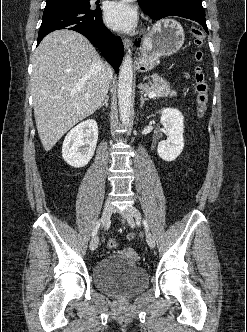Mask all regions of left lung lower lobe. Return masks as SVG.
Masks as SVG:
<instances>
[{
	"label": "left lung lower lobe",
	"instance_id": "0a47b994",
	"mask_svg": "<svg viewBox=\"0 0 247 332\" xmlns=\"http://www.w3.org/2000/svg\"><path fill=\"white\" fill-rule=\"evenodd\" d=\"M151 19L158 20L168 16H179L185 19H189L199 23L203 29L208 33V28L206 25L205 11L202 8H193V7H173L165 10L160 14H149Z\"/></svg>",
	"mask_w": 247,
	"mask_h": 332
}]
</instances>
